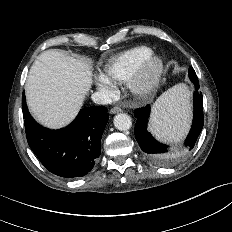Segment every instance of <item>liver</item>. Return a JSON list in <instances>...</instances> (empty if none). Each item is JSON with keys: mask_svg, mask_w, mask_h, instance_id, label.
I'll return each mask as SVG.
<instances>
[{"mask_svg": "<svg viewBox=\"0 0 232 232\" xmlns=\"http://www.w3.org/2000/svg\"><path fill=\"white\" fill-rule=\"evenodd\" d=\"M91 83L87 61L49 49L37 57L29 71L27 104L41 124L60 128L77 115Z\"/></svg>", "mask_w": 232, "mask_h": 232, "instance_id": "1", "label": "liver"}]
</instances>
